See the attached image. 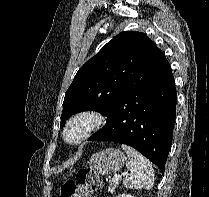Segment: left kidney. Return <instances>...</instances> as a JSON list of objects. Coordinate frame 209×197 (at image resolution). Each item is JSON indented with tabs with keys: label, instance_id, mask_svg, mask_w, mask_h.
Segmentation results:
<instances>
[{
	"label": "left kidney",
	"instance_id": "left-kidney-1",
	"mask_svg": "<svg viewBox=\"0 0 209 197\" xmlns=\"http://www.w3.org/2000/svg\"><path fill=\"white\" fill-rule=\"evenodd\" d=\"M117 197H134V196H132L130 194H120Z\"/></svg>",
	"mask_w": 209,
	"mask_h": 197
}]
</instances>
